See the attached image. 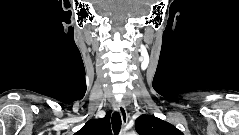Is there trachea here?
<instances>
[{"label":"trachea","mask_w":239,"mask_h":135,"mask_svg":"<svg viewBox=\"0 0 239 135\" xmlns=\"http://www.w3.org/2000/svg\"><path fill=\"white\" fill-rule=\"evenodd\" d=\"M112 129L115 135H118L121 129V116L119 112H114L112 114Z\"/></svg>","instance_id":"1"}]
</instances>
